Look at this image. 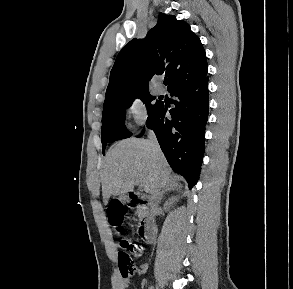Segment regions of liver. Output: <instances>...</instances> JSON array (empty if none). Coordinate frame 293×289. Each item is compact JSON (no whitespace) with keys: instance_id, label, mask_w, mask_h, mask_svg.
<instances>
[{"instance_id":"obj_1","label":"liver","mask_w":293,"mask_h":289,"mask_svg":"<svg viewBox=\"0 0 293 289\" xmlns=\"http://www.w3.org/2000/svg\"><path fill=\"white\" fill-rule=\"evenodd\" d=\"M135 180L150 194L157 185L161 188L177 185L160 149L155 150L148 140L129 138L106 154L101 173L103 199L132 192Z\"/></svg>"}]
</instances>
